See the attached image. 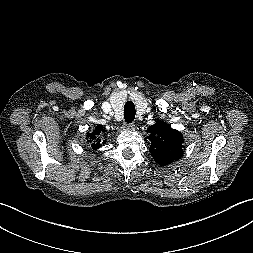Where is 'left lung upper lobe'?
Wrapping results in <instances>:
<instances>
[{
  "label": "left lung upper lobe",
  "instance_id": "left-lung-upper-lobe-1",
  "mask_svg": "<svg viewBox=\"0 0 253 253\" xmlns=\"http://www.w3.org/2000/svg\"><path fill=\"white\" fill-rule=\"evenodd\" d=\"M150 143V152L154 160L161 166H166L179 160L183 156L182 134L172 129L163 121H156V124L147 129Z\"/></svg>",
  "mask_w": 253,
  "mask_h": 253
}]
</instances>
